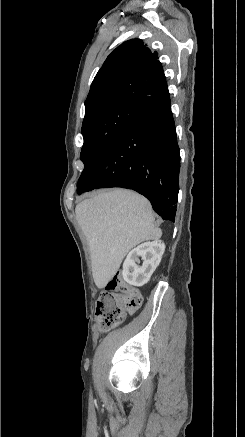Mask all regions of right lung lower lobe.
Listing matches in <instances>:
<instances>
[{"label": "right lung lower lobe", "mask_w": 245, "mask_h": 437, "mask_svg": "<svg viewBox=\"0 0 245 437\" xmlns=\"http://www.w3.org/2000/svg\"><path fill=\"white\" fill-rule=\"evenodd\" d=\"M180 153L170 96L142 106L77 193L122 187L144 195L164 220L175 221Z\"/></svg>", "instance_id": "right-lung-lower-lobe-1"}]
</instances>
